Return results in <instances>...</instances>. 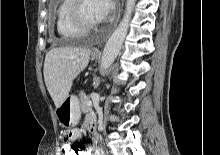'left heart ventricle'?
<instances>
[{
	"label": "left heart ventricle",
	"mask_w": 220,
	"mask_h": 155,
	"mask_svg": "<svg viewBox=\"0 0 220 155\" xmlns=\"http://www.w3.org/2000/svg\"><path fill=\"white\" fill-rule=\"evenodd\" d=\"M82 13L87 20L93 21V22L98 21L93 10V0H83Z\"/></svg>",
	"instance_id": "b2bd125f"
}]
</instances>
